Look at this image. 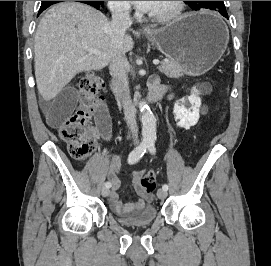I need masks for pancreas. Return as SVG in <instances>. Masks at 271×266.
Wrapping results in <instances>:
<instances>
[{
    "mask_svg": "<svg viewBox=\"0 0 271 266\" xmlns=\"http://www.w3.org/2000/svg\"><path fill=\"white\" fill-rule=\"evenodd\" d=\"M158 69L160 72L170 78H178L185 74L182 66L177 61L172 59L163 60Z\"/></svg>",
    "mask_w": 271,
    "mask_h": 266,
    "instance_id": "pancreas-1",
    "label": "pancreas"
}]
</instances>
